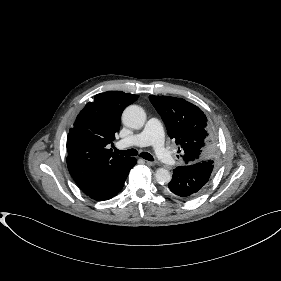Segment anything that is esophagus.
Instances as JSON below:
<instances>
[{"label": "esophagus", "instance_id": "obj_1", "mask_svg": "<svg viewBox=\"0 0 281 281\" xmlns=\"http://www.w3.org/2000/svg\"><path fill=\"white\" fill-rule=\"evenodd\" d=\"M143 161H144V163H145L146 165H148V166H154V165H155V163L152 162V161H148V160H143Z\"/></svg>", "mask_w": 281, "mask_h": 281}]
</instances>
